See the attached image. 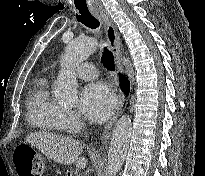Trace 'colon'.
Returning a JSON list of instances; mask_svg holds the SVG:
<instances>
[{
	"label": "colon",
	"mask_w": 205,
	"mask_h": 176,
	"mask_svg": "<svg viewBox=\"0 0 205 176\" xmlns=\"http://www.w3.org/2000/svg\"><path fill=\"white\" fill-rule=\"evenodd\" d=\"M19 176H42L45 169L44 158L35 150L19 147L13 155Z\"/></svg>",
	"instance_id": "5ec220e1"
}]
</instances>
